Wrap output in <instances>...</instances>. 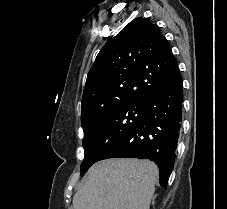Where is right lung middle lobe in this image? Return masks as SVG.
I'll return each mask as SVG.
<instances>
[{
	"label": "right lung middle lobe",
	"mask_w": 227,
	"mask_h": 209,
	"mask_svg": "<svg viewBox=\"0 0 227 209\" xmlns=\"http://www.w3.org/2000/svg\"><path fill=\"white\" fill-rule=\"evenodd\" d=\"M100 104L105 107L104 111L81 120L85 151L82 176L139 122L144 108V102L115 98L101 100Z\"/></svg>",
	"instance_id": "right-lung-middle-lobe-1"
}]
</instances>
